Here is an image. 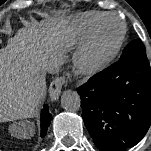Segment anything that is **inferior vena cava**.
Listing matches in <instances>:
<instances>
[{
  "instance_id": "602c4592",
  "label": "inferior vena cava",
  "mask_w": 151,
  "mask_h": 151,
  "mask_svg": "<svg viewBox=\"0 0 151 151\" xmlns=\"http://www.w3.org/2000/svg\"><path fill=\"white\" fill-rule=\"evenodd\" d=\"M61 62L58 60H51L45 63L46 71L49 73L55 72L59 69Z\"/></svg>"
}]
</instances>
